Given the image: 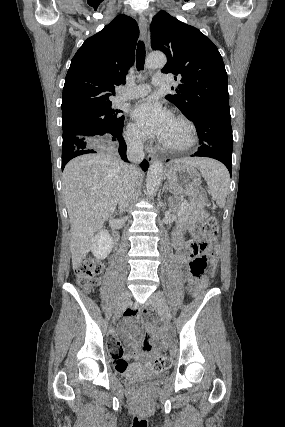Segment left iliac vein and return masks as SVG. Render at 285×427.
Returning a JSON list of instances; mask_svg holds the SVG:
<instances>
[{
	"label": "left iliac vein",
	"instance_id": "4c4485c4",
	"mask_svg": "<svg viewBox=\"0 0 285 427\" xmlns=\"http://www.w3.org/2000/svg\"><path fill=\"white\" fill-rule=\"evenodd\" d=\"M149 303L168 322L171 321V314L164 298L157 293H153L149 298Z\"/></svg>",
	"mask_w": 285,
	"mask_h": 427
}]
</instances>
